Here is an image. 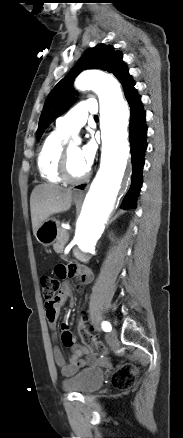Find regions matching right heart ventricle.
I'll list each match as a JSON object with an SVG mask.
<instances>
[{
	"instance_id": "obj_1",
	"label": "right heart ventricle",
	"mask_w": 183,
	"mask_h": 438,
	"mask_svg": "<svg viewBox=\"0 0 183 438\" xmlns=\"http://www.w3.org/2000/svg\"><path fill=\"white\" fill-rule=\"evenodd\" d=\"M66 133L55 129L43 141L37 156V166L43 179L50 183H61L58 164L63 150V138Z\"/></svg>"
}]
</instances>
